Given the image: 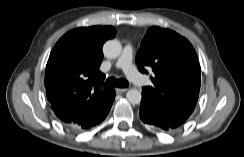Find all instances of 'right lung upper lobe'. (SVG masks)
Instances as JSON below:
<instances>
[{
  "instance_id": "cb5924a9",
  "label": "right lung upper lobe",
  "mask_w": 244,
  "mask_h": 157,
  "mask_svg": "<svg viewBox=\"0 0 244 157\" xmlns=\"http://www.w3.org/2000/svg\"><path fill=\"white\" fill-rule=\"evenodd\" d=\"M115 34L112 26L77 28L51 51L45 71L46 95L63 123L86 129L109 104L113 91L102 90L105 75L98 68L102 46Z\"/></svg>"
}]
</instances>
